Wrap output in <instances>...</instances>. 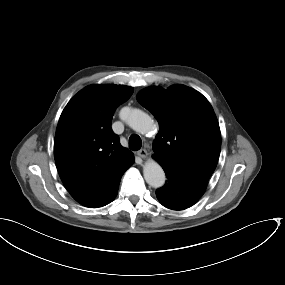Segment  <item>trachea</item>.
<instances>
[{
	"instance_id": "trachea-1",
	"label": "trachea",
	"mask_w": 285,
	"mask_h": 285,
	"mask_svg": "<svg viewBox=\"0 0 285 285\" xmlns=\"http://www.w3.org/2000/svg\"><path fill=\"white\" fill-rule=\"evenodd\" d=\"M141 146H142L141 138L136 134H132L129 138V148L133 151H137L141 148Z\"/></svg>"
}]
</instances>
